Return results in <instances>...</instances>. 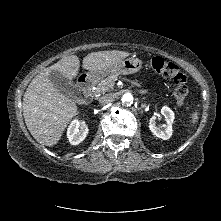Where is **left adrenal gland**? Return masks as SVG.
I'll return each mask as SVG.
<instances>
[{"label": "left adrenal gland", "mask_w": 221, "mask_h": 221, "mask_svg": "<svg viewBox=\"0 0 221 221\" xmlns=\"http://www.w3.org/2000/svg\"><path fill=\"white\" fill-rule=\"evenodd\" d=\"M141 93H146V91H142Z\"/></svg>", "instance_id": "obj_1"}]
</instances>
